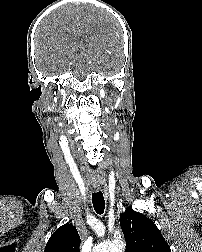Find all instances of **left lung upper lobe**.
<instances>
[{
	"label": "left lung upper lobe",
	"mask_w": 202,
	"mask_h": 252,
	"mask_svg": "<svg viewBox=\"0 0 202 252\" xmlns=\"http://www.w3.org/2000/svg\"><path fill=\"white\" fill-rule=\"evenodd\" d=\"M120 225L127 241L126 252H171L154 222L132 208L120 215Z\"/></svg>",
	"instance_id": "1"
}]
</instances>
